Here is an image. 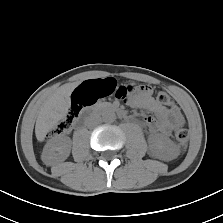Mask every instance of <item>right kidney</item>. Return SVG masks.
Instances as JSON below:
<instances>
[{
	"label": "right kidney",
	"mask_w": 223,
	"mask_h": 223,
	"mask_svg": "<svg viewBox=\"0 0 223 223\" xmlns=\"http://www.w3.org/2000/svg\"><path fill=\"white\" fill-rule=\"evenodd\" d=\"M71 151V140L68 137H57L51 140L43 149L42 160L51 165L57 161H64Z\"/></svg>",
	"instance_id": "obj_1"
}]
</instances>
